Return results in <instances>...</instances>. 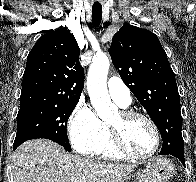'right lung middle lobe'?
<instances>
[{
    "label": "right lung middle lobe",
    "instance_id": "right-lung-middle-lobe-1",
    "mask_svg": "<svg viewBox=\"0 0 196 182\" xmlns=\"http://www.w3.org/2000/svg\"><path fill=\"white\" fill-rule=\"evenodd\" d=\"M77 103L40 102L20 106L13 148L30 139L46 138L62 145L66 151H71L66 125Z\"/></svg>",
    "mask_w": 196,
    "mask_h": 182
}]
</instances>
